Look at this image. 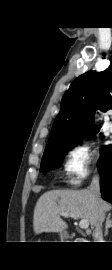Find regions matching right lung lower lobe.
Returning a JSON list of instances; mask_svg holds the SVG:
<instances>
[{"label": "right lung lower lobe", "instance_id": "right-lung-lower-lobe-1", "mask_svg": "<svg viewBox=\"0 0 112 270\" xmlns=\"http://www.w3.org/2000/svg\"><path fill=\"white\" fill-rule=\"evenodd\" d=\"M98 169L101 176L100 186L102 197L112 203V147L106 153Z\"/></svg>", "mask_w": 112, "mask_h": 270}]
</instances>
